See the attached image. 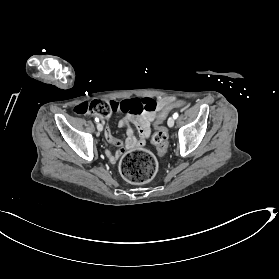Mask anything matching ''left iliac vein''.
Segmentation results:
<instances>
[{
    "label": "left iliac vein",
    "mask_w": 279,
    "mask_h": 279,
    "mask_svg": "<svg viewBox=\"0 0 279 279\" xmlns=\"http://www.w3.org/2000/svg\"><path fill=\"white\" fill-rule=\"evenodd\" d=\"M174 122H175L174 118H173V117H170V118L168 119V121H167L168 126H169V127H173V126H174Z\"/></svg>",
    "instance_id": "1"
}]
</instances>
